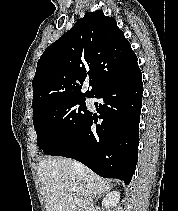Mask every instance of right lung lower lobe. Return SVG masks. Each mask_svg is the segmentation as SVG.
<instances>
[{"label": "right lung lower lobe", "instance_id": "98d812e1", "mask_svg": "<svg viewBox=\"0 0 178 211\" xmlns=\"http://www.w3.org/2000/svg\"><path fill=\"white\" fill-rule=\"evenodd\" d=\"M139 67L109 84L93 98L99 118L90 112L84 125L50 154L76 159L104 178H117L126 185L135 172L143 84ZM93 121L96 126H93Z\"/></svg>", "mask_w": 178, "mask_h": 211}]
</instances>
